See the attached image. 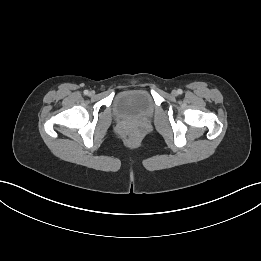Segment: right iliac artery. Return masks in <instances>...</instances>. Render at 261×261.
<instances>
[{
	"label": "right iliac artery",
	"mask_w": 261,
	"mask_h": 261,
	"mask_svg": "<svg viewBox=\"0 0 261 261\" xmlns=\"http://www.w3.org/2000/svg\"><path fill=\"white\" fill-rule=\"evenodd\" d=\"M84 94H85V95H88V94H89V91H88V90H85V91H84Z\"/></svg>",
	"instance_id": "1"
}]
</instances>
